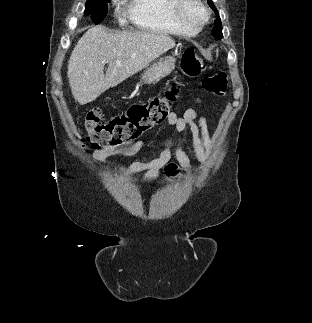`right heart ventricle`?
I'll list each match as a JSON object with an SVG mask.
<instances>
[{
  "instance_id": "right-heart-ventricle-1",
  "label": "right heart ventricle",
  "mask_w": 312,
  "mask_h": 323,
  "mask_svg": "<svg viewBox=\"0 0 312 323\" xmlns=\"http://www.w3.org/2000/svg\"><path fill=\"white\" fill-rule=\"evenodd\" d=\"M129 20L134 29H152L153 33H193L194 24L185 22L181 5L172 0H131Z\"/></svg>"
}]
</instances>
